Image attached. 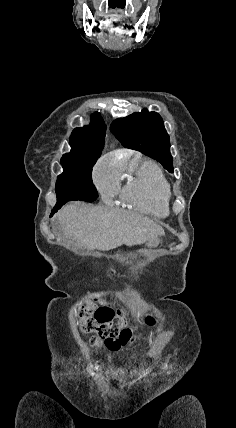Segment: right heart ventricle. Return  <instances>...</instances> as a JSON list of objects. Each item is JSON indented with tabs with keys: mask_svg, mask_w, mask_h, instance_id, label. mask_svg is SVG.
Here are the masks:
<instances>
[{
	"mask_svg": "<svg viewBox=\"0 0 236 428\" xmlns=\"http://www.w3.org/2000/svg\"><path fill=\"white\" fill-rule=\"evenodd\" d=\"M121 173L126 172L121 191L124 201L137 210L154 216H164L169 211L172 185L164 172L150 160H126L118 164Z\"/></svg>",
	"mask_w": 236,
	"mask_h": 428,
	"instance_id": "e07e8e85",
	"label": "right heart ventricle"
}]
</instances>
